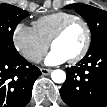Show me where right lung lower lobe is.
<instances>
[{"label": "right lung lower lobe", "instance_id": "98d812e1", "mask_svg": "<svg viewBox=\"0 0 107 107\" xmlns=\"http://www.w3.org/2000/svg\"><path fill=\"white\" fill-rule=\"evenodd\" d=\"M40 70L22 56L0 52V107H25Z\"/></svg>", "mask_w": 107, "mask_h": 107}]
</instances>
